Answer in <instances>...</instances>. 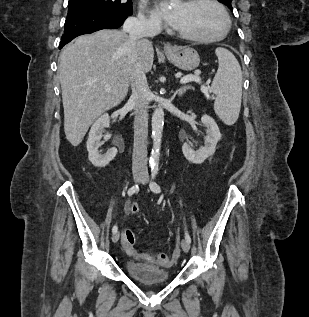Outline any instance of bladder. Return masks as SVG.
<instances>
[{
    "mask_svg": "<svg viewBox=\"0 0 309 317\" xmlns=\"http://www.w3.org/2000/svg\"><path fill=\"white\" fill-rule=\"evenodd\" d=\"M125 270L133 280L147 286L165 284L170 279L167 269L137 260H127Z\"/></svg>",
    "mask_w": 309,
    "mask_h": 317,
    "instance_id": "31cf9c89",
    "label": "bladder"
}]
</instances>
